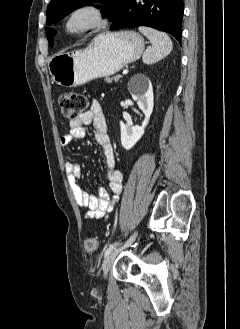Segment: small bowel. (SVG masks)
Instances as JSON below:
<instances>
[{"label": "small bowel", "mask_w": 240, "mask_h": 329, "mask_svg": "<svg viewBox=\"0 0 240 329\" xmlns=\"http://www.w3.org/2000/svg\"><path fill=\"white\" fill-rule=\"evenodd\" d=\"M88 125L93 126L94 138L105 157L107 188L99 187L96 195H91L79 184L82 173L81 166L74 161H67L65 169L76 203L87 209L86 217L88 219H103L114 208L118 195L122 190V174L116 166L106 119L102 106L97 100H93L88 110L80 113L70 122V130L60 138V144L63 147H68L73 141L84 138L85 126Z\"/></svg>", "instance_id": "small-bowel-1"}]
</instances>
